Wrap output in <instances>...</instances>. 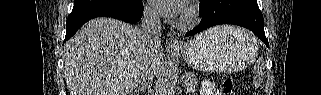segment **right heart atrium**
<instances>
[{
  "label": "right heart atrium",
  "instance_id": "1",
  "mask_svg": "<svg viewBox=\"0 0 321 95\" xmlns=\"http://www.w3.org/2000/svg\"><path fill=\"white\" fill-rule=\"evenodd\" d=\"M146 13L149 17H154V12L151 9H147Z\"/></svg>",
  "mask_w": 321,
  "mask_h": 95
}]
</instances>
